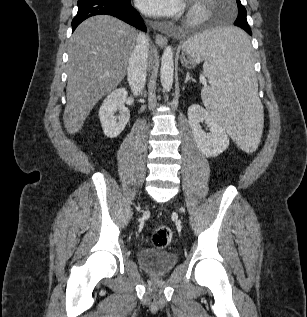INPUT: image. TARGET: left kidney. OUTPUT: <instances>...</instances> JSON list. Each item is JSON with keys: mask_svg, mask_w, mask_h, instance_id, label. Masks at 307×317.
I'll use <instances>...</instances> for the list:
<instances>
[{"mask_svg": "<svg viewBox=\"0 0 307 317\" xmlns=\"http://www.w3.org/2000/svg\"><path fill=\"white\" fill-rule=\"evenodd\" d=\"M187 114L195 142L204 155L215 157L228 148L229 138L225 129L202 106L191 105ZM203 122L210 128L209 133L202 129Z\"/></svg>", "mask_w": 307, "mask_h": 317, "instance_id": "left-kidney-1", "label": "left kidney"}]
</instances>
